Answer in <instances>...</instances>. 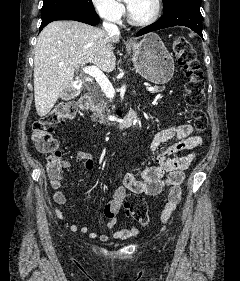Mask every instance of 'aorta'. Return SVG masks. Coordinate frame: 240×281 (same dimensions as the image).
<instances>
[{"label":"aorta","instance_id":"1","mask_svg":"<svg viewBox=\"0 0 240 281\" xmlns=\"http://www.w3.org/2000/svg\"><path fill=\"white\" fill-rule=\"evenodd\" d=\"M137 123V119L134 120L133 124L135 125Z\"/></svg>","mask_w":240,"mask_h":281}]
</instances>
